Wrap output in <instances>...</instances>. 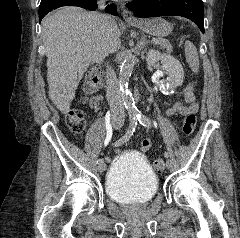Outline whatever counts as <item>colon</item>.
Masks as SVG:
<instances>
[{
	"instance_id": "colon-1",
	"label": "colon",
	"mask_w": 240,
	"mask_h": 238,
	"mask_svg": "<svg viewBox=\"0 0 240 238\" xmlns=\"http://www.w3.org/2000/svg\"><path fill=\"white\" fill-rule=\"evenodd\" d=\"M102 86V74L95 70L90 72L85 80V92L88 96L94 95ZM184 97L188 103L195 102V92L192 84H188L184 89ZM66 123L71 132L76 135L82 134L86 129V118L84 112L75 107L69 111L66 116ZM196 127V116L194 113H189L185 116L182 126V131L185 135H191ZM156 171L164 169L163 159H157L153 163Z\"/></svg>"
}]
</instances>
